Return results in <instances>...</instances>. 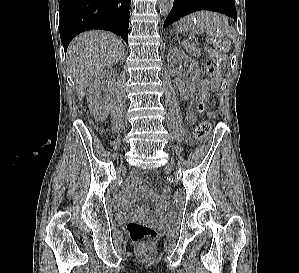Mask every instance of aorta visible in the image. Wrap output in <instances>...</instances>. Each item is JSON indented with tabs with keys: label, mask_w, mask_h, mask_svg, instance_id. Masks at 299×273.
<instances>
[{
	"label": "aorta",
	"mask_w": 299,
	"mask_h": 273,
	"mask_svg": "<svg viewBox=\"0 0 299 273\" xmlns=\"http://www.w3.org/2000/svg\"><path fill=\"white\" fill-rule=\"evenodd\" d=\"M174 0H159V7L163 15H167L172 7Z\"/></svg>",
	"instance_id": "762f6f07"
}]
</instances>
